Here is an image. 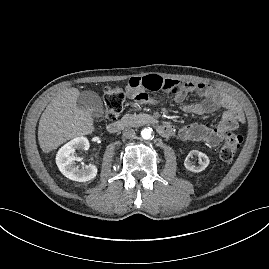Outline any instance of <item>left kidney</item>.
<instances>
[{
    "instance_id": "1",
    "label": "left kidney",
    "mask_w": 269,
    "mask_h": 269,
    "mask_svg": "<svg viewBox=\"0 0 269 269\" xmlns=\"http://www.w3.org/2000/svg\"><path fill=\"white\" fill-rule=\"evenodd\" d=\"M193 156H197L200 158L199 165L196 166L191 162L190 158H193ZM208 165H209L208 156L205 153H202L198 150L190 151L184 161L185 168L195 173L205 170Z\"/></svg>"
}]
</instances>
